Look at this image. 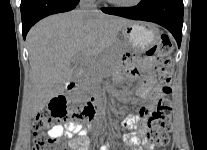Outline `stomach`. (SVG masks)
<instances>
[{
	"label": "stomach",
	"instance_id": "stomach-1",
	"mask_svg": "<svg viewBox=\"0 0 207 150\" xmlns=\"http://www.w3.org/2000/svg\"><path fill=\"white\" fill-rule=\"evenodd\" d=\"M159 31L148 25L130 22L122 27L118 39L119 52L121 54L128 46H132L139 52L155 44Z\"/></svg>",
	"mask_w": 207,
	"mask_h": 150
}]
</instances>
